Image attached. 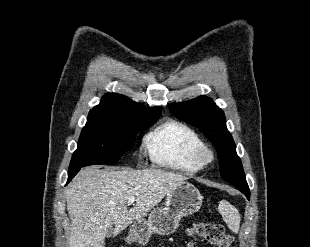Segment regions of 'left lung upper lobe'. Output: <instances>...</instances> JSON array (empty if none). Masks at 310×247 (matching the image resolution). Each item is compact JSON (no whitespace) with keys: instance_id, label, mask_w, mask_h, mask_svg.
Returning a JSON list of instances; mask_svg holds the SVG:
<instances>
[{"instance_id":"1","label":"left lung upper lobe","mask_w":310,"mask_h":247,"mask_svg":"<svg viewBox=\"0 0 310 247\" xmlns=\"http://www.w3.org/2000/svg\"><path fill=\"white\" fill-rule=\"evenodd\" d=\"M169 109L177 118L202 130L212 142L224 180L230 183L246 180L232 135L226 127L224 112L210 98L200 96L184 103H172Z\"/></svg>"}]
</instances>
